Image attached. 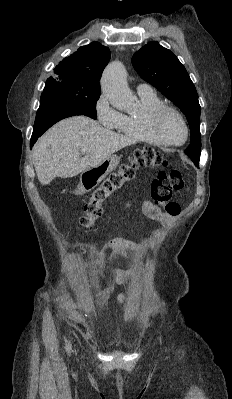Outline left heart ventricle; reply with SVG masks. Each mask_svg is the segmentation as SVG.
<instances>
[{"mask_svg":"<svg viewBox=\"0 0 232 399\" xmlns=\"http://www.w3.org/2000/svg\"><path fill=\"white\" fill-rule=\"evenodd\" d=\"M160 129L167 138L176 143H181L185 140V127L177 115L171 111L166 112L161 117Z\"/></svg>","mask_w":232,"mask_h":399,"instance_id":"b2bd125f","label":"left heart ventricle"}]
</instances>
